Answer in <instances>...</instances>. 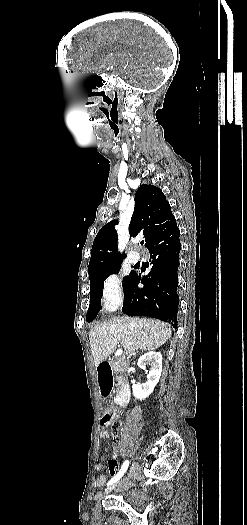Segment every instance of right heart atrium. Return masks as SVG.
<instances>
[{
  "mask_svg": "<svg viewBox=\"0 0 247 525\" xmlns=\"http://www.w3.org/2000/svg\"><path fill=\"white\" fill-rule=\"evenodd\" d=\"M123 292L121 279L116 274L108 275L102 285L100 301L105 311L111 312L119 308L122 304Z\"/></svg>",
  "mask_w": 247,
  "mask_h": 525,
  "instance_id": "1",
  "label": "right heart atrium"
}]
</instances>
